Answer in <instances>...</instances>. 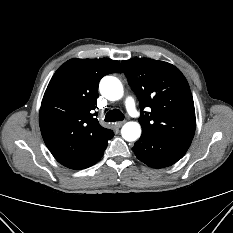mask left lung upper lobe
<instances>
[{"label": "left lung upper lobe", "mask_w": 233, "mask_h": 233, "mask_svg": "<svg viewBox=\"0 0 233 233\" xmlns=\"http://www.w3.org/2000/svg\"><path fill=\"white\" fill-rule=\"evenodd\" d=\"M121 64L139 100L142 133L191 142L196 128L194 102L180 70L149 58H133ZM145 107L151 111L145 112Z\"/></svg>", "instance_id": "left-lung-upper-lobe-1"}]
</instances>
